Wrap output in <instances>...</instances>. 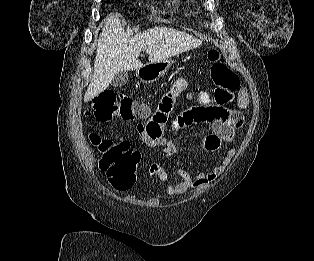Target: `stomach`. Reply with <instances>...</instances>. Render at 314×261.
<instances>
[{
	"label": "stomach",
	"instance_id": "obj_1",
	"mask_svg": "<svg viewBox=\"0 0 314 261\" xmlns=\"http://www.w3.org/2000/svg\"><path fill=\"white\" fill-rule=\"evenodd\" d=\"M173 60L168 58L158 62H150L136 71V76L142 83H153L165 75L173 64Z\"/></svg>",
	"mask_w": 314,
	"mask_h": 261
}]
</instances>
